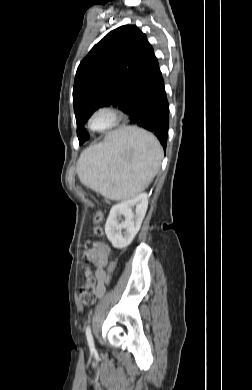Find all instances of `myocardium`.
<instances>
[{
  "label": "myocardium",
  "instance_id": "myocardium-1",
  "mask_svg": "<svg viewBox=\"0 0 252 390\" xmlns=\"http://www.w3.org/2000/svg\"><path fill=\"white\" fill-rule=\"evenodd\" d=\"M100 114L107 115L109 118V122L106 126H104L102 128H96L93 125V122H94V119ZM121 120H122V113L117 107L105 105V106H100V107L96 108L91 113V115L88 119V126L94 132L106 133V132L114 129L115 127H117L119 125V123L121 122Z\"/></svg>",
  "mask_w": 252,
  "mask_h": 390
}]
</instances>
